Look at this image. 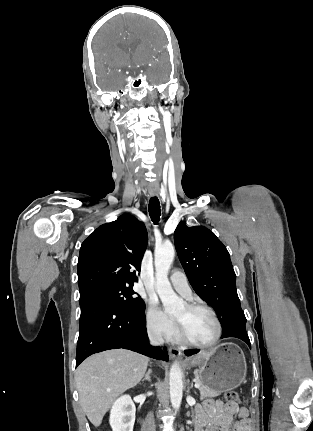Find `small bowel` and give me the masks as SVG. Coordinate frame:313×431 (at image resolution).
I'll list each match as a JSON object with an SVG mask.
<instances>
[{"instance_id": "c3829d8e", "label": "small bowel", "mask_w": 313, "mask_h": 431, "mask_svg": "<svg viewBox=\"0 0 313 431\" xmlns=\"http://www.w3.org/2000/svg\"><path fill=\"white\" fill-rule=\"evenodd\" d=\"M235 417L233 431H253L247 408L238 404L224 405L220 400H207L196 409L195 431H230Z\"/></svg>"}]
</instances>
